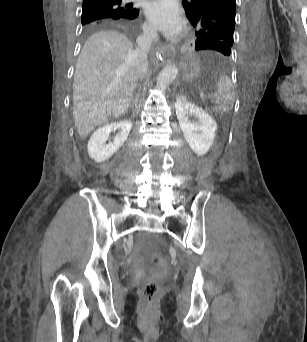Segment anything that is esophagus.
<instances>
[{
  "instance_id": "1",
  "label": "esophagus",
  "mask_w": 307,
  "mask_h": 342,
  "mask_svg": "<svg viewBox=\"0 0 307 342\" xmlns=\"http://www.w3.org/2000/svg\"><path fill=\"white\" fill-rule=\"evenodd\" d=\"M157 52L162 55L164 63H170L175 58V51L172 48L157 47Z\"/></svg>"
}]
</instances>
